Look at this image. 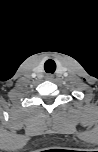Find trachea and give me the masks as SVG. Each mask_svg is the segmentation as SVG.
<instances>
[{"label": "trachea", "mask_w": 98, "mask_h": 152, "mask_svg": "<svg viewBox=\"0 0 98 152\" xmlns=\"http://www.w3.org/2000/svg\"><path fill=\"white\" fill-rule=\"evenodd\" d=\"M44 69L47 73H54L56 70V63L53 60L49 59L45 62Z\"/></svg>", "instance_id": "3493384b"}]
</instances>
